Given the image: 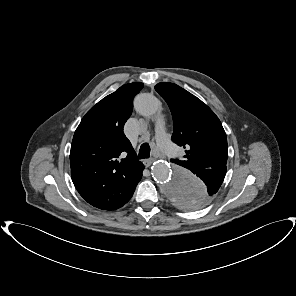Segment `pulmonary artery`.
I'll return each mask as SVG.
<instances>
[{
	"instance_id": "1",
	"label": "pulmonary artery",
	"mask_w": 296,
	"mask_h": 296,
	"mask_svg": "<svg viewBox=\"0 0 296 296\" xmlns=\"http://www.w3.org/2000/svg\"><path fill=\"white\" fill-rule=\"evenodd\" d=\"M156 140L162 152L168 156H173L176 152L175 146L169 141L164 122L162 119H159L156 123Z\"/></svg>"
}]
</instances>
